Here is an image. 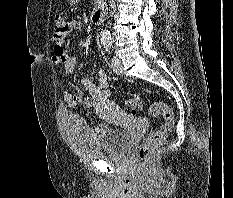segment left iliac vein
<instances>
[{"instance_id": "4c4485c4", "label": "left iliac vein", "mask_w": 233, "mask_h": 198, "mask_svg": "<svg viewBox=\"0 0 233 198\" xmlns=\"http://www.w3.org/2000/svg\"><path fill=\"white\" fill-rule=\"evenodd\" d=\"M111 68L113 72L117 75H121L123 73V65L120 59L117 56H114L111 62Z\"/></svg>"}]
</instances>
